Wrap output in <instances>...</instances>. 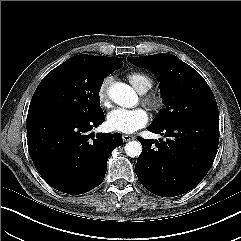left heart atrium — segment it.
<instances>
[{"label":"left heart atrium","instance_id":"obj_1","mask_svg":"<svg viewBox=\"0 0 241 241\" xmlns=\"http://www.w3.org/2000/svg\"><path fill=\"white\" fill-rule=\"evenodd\" d=\"M147 112L142 108L112 110L107 116V126L110 130L121 133H134L148 123Z\"/></svg>","mask_w":241,"mask_h":241}]
</instances>
